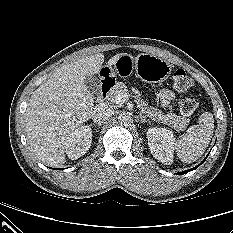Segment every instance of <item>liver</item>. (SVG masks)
Listing matches in <instances>:
<instances>
[{
  "instance_id": "liver-1",
  "label": "liver",
  "mask_w": 233,
  "mask_h": 233,
  "mask_svg": "<svg viewBox=\"0 0 233 233\" xmlns=\"http://www.w3.org/2000/svg\"><path fill=\"white\" fill-rule=\"evenodd\" d=\"M122 55L109 59L108 65H115ZM103 63L104 54L97 53L64 64L31 96L24 115L26 137L31 151L44 164L65 163L66 139L91 118L94 110L85 78L98 74Z\"/></svg>"
}]
</instances>
